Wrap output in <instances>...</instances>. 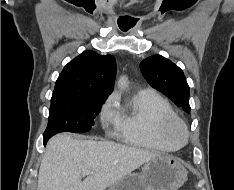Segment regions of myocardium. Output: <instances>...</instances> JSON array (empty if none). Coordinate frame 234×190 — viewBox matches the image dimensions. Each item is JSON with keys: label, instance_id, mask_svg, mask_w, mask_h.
I'll return each mask as SVG.
<instances>
[{"label": "myocardium", "instance_id": "obj_1", "mask_svg": "<svg viewBox=\"0 0 234 190\" xmlns=\"http://www.w3.org/2000/svg\"><path fill=\"white\" fill-rule=\"evenodd\" d=\"M162 132L167 140L179 147L184 145L189 138L187 125L177 116L169 118L164 122Z\"/></svg>", "mask_w": 234, "mask_h": 190}]
</instances>
